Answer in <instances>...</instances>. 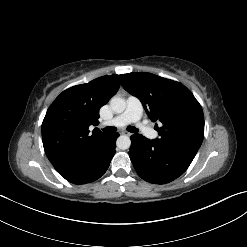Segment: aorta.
<instances>
[{"instance_id": "762f6f07", "label": "aorta", "mask_w": 247, "mask_h": 247, "mask_svg": "<svg viewBox=\"0 0 247 247\" xmlns=\"http://www.w3.org/2000/svg\"><path fill=\"white\" fill-rule=\"evenodd\" d=\"M110 107L116 113H122L126 108V102L123 98L114 96L110 100ZM131 140L127 135H121L117 139V147L121 150L129 149Z\"/></svg>"}]
</instances>
